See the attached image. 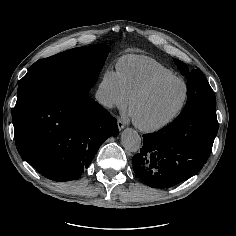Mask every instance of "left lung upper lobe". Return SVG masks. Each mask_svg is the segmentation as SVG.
<instances>
[{"label": "left lung upper lobe", "instance_id": "1", "mask_svg": "<svg viewBox=\"0 0 236 236\" xmlns=\"http://www.w3.org/2000/svg\"><path fill=\"white\" fill-rule=\"evenodd\" d=\"M182 75L188 78L187 82V103L183 111L202 107L216 110V99L214 91L206 80L201 70L188 71L187 66L180 60L174 59Z\"/></svg>", "mask_w": 236, "mask_h": 236}]
</instances>
